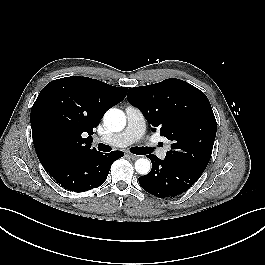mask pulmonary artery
<instances>
[{
  "label": "pulmonary artery",
  "instance_id": "1",
  "mask_svg": "<svg viewBox=\"0 0 265 265\" xmlns=\"http://www.w3.org/2000/svg\"><path fill=\"white\" fill-rule=\"evenodd\" d=\"M125 112L127 117L126 128L121 133L111 136L108 140L113 146H128L140 140L145 132V120L141 111L133 106H127ZM157 156L164 159L166 156V149H158Z\"/></svg>",
  "mask_w": 265,
  "mask_h": 265
}]
</instances>
